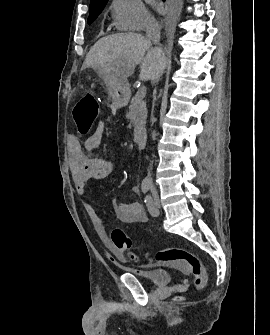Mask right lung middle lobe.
Returning a JSON list of instances; mask_svg holds the SVG:
<instances>
[{
	"label": "right lung middle lobe",
	"mask_w": 270,
	"mask_h": 335,
	"mask_svg": "<svg viewBox=\"0 0 270 335\" xmlns=\"http://www.w3.org/2000/svg\"><path fill=\"white\" fill-rule=\"evenodd\" d=\"M105 5H106V3H101V4H97V5H90L88 24H91L98 17V15L104 9Z\"/></svg>",
	"instance_id": "obj_1"
}]
</instances>
